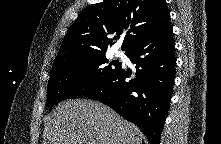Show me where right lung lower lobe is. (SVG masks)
Wrapping results in <instances>:
<instances>
[{
    "label": "right lung lower lobe",
    "instance_id": "1",
    "mask_svg": "<svg viewBox=\"0 0 221 144\" xmlns=\"http://www.w3.org/2000/svg\"><path fill=\"white\" fill-rule=\"evenodd\" d=\"M175 41L171 23L126 51L136 64L134 78L122 66L101 86L84 96L97 98L123 118L139 126L150 144H159L169 110L175 78Z\"/></svg>",
    "mask_w": 221,
    "mask_h": 144
}]
</instances>
